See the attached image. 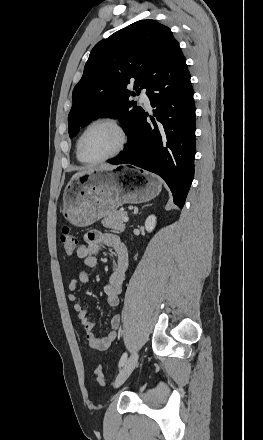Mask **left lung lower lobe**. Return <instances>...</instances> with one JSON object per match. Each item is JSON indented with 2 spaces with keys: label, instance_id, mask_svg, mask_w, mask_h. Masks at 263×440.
<instances>
[{
  "label": "left lung lower lobe",
  "instance_id": "left-lung-lower-lobe-1",
  "mask_svg": "<svg viewBox=\"0 0 263 440\" xmlns=\"http://www.w3.org/2000/svg\"><path fill=\"white\" fill-rule=\"evenodd\" d=\"M146 94L157 121L149 124L144 112L128 132L125 149L108 162L135 165L159 175L182 209L194 177L195 105L179 44L171 49Z\"/></svg>",
  "mask_w": 263,
  "mask_h": 440
}]
</instances>
